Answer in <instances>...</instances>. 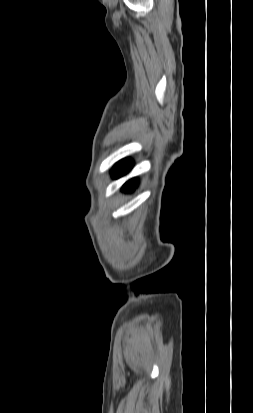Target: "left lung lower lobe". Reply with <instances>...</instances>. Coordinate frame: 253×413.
<instances>
[{"instance_id": "1", "label": "left lung lower lobe", "mask_w": 253, "mask_h": 413, "mask_svg": "<svg viewBox=\"0 0 253 413\" xmlns=\"http://www.w3.org/2000/svg\"><path fill=\"white\" fill-rule=\"evenodd\" d=\"M132 167H133V163L130 159H123L114 165L111 175L115 179L119 178L127 174L131 170ZM136 186H137V180L131 179L123 186L122 190L125 192H130Z\"/></svg>"}]
</instances>
